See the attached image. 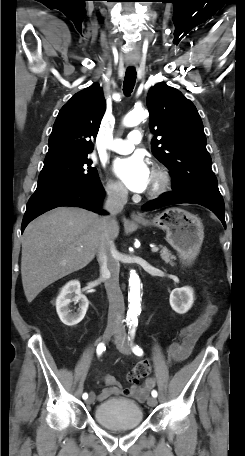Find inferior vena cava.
<instances>
[{
    "label": "inferior vena cava",
    "instance_id": "obj_1",
    "mask_svg": "<svg viewBox=\"0 0 245 456\" xmlns=\"http://www.w3.org/2000/svg\"><path fill=\"white\" fill-rule=\"evenodd\" d=\"M105 210L109 215L101 217V241L98 247L97 260L109 300L108 326L122 328L124 314V297L119 287L120 266L117 250L111 237V227L116 222L115 215L123 210L128 200L127 189L119 184L107 189Z\"/></svg>",
    "mask_w": 245,
    "mask_h": 456
}]
</instances>
